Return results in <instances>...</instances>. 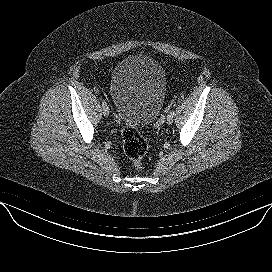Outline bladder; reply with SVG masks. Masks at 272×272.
<instances>
[{"label": "bladder", "mask_w": 272, "mask_h": 272, "mask_svg": "<svg viewBox=\"0 0 272 272\" xmlns=\"http://www.w3.org/2000/svg\"><path fill=\"white\" fill-rule=\"evenodd\" d=\"M166 88L165 71L158 61L145 55L125 58L110 81L118 118L135 129L151 123L162 110Z\"/></svg>", "instance_id": "1"}]
</instances>
